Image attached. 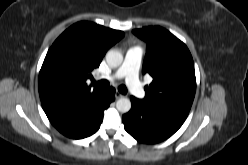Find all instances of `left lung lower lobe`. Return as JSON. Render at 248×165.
<instances>
[{
	"label": "left lung lower lobe",
	"instance_id": "0a47b994",
	"mask_svg": "<svg viewBox=\"0 0 248 165\" xmlns=\"http://www.w3.org/2000/svg\"><path fill=\"white\" fill-rule=\"evenodd\" d=\"M131 110L122 116L125 130L142 143H158L172 136L184 123L182 118L131 97Z\"/></svg>",
	"mask_w": 248,
	"mask_h": 165
}]
</instances>
